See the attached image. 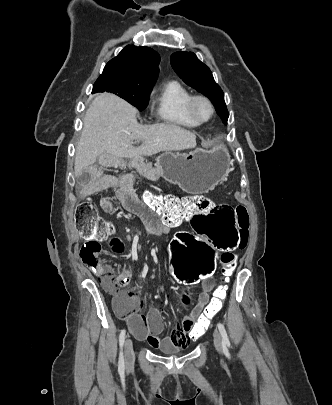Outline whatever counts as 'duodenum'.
Masks as SVG:
<instances>
[{"instance_id":"410a0bca","label":"duodenum","mask_w":332,"mask_h":405,"mask_svg":"<svg viewBox=\"0 0 332 405\" xmlns=\"http://www.w3.org/2000/svg\"><path fill=\"white\" fill-rule=\"evenodd\" d=\"M152 219H153V221H157V222L160 220L159 217L155 216L154 213L152 214Z\"/></svg>"}]
</instances>
